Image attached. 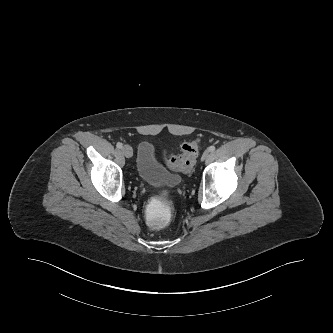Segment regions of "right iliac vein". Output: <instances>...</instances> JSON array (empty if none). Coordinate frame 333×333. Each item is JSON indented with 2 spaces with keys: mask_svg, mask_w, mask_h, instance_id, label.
<instances>
[{
  "mask_svg": "<svg viewBox=\"0 0 333 333\" xmlns=\"http://www.w3.org/2000/svg\"><path fill=\"white\" fill-rule=\"evenodd\" d=\"M122 153L125 157L130 158L133 155V150L129 145H125L122 147Z\"/></svg>",
  "mask_w": 333,
  "mask_h": 333,
  "instance_id": "right-iliac-vein-1",
  "label": "right iliac vein"
}]
</instances>
